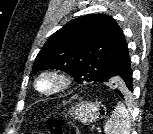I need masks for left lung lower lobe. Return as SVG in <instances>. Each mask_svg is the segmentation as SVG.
Wrapping results in <instances>:
<instances>
[{
	"label": "left lung lower lobe",
	"mask_w": 153,
	"mask_h": 134,
	"mask_svg": "<svg viewBox=\"0 0 153 134\" xmlns=\"http://www.w3.org/2000/svg\"><path fill=\"white\" fill-rule=\"evenodd\" d=\"M117 77L119 81H121L122 84L124 85L126 92L119 91L117 89H115V92H117V94L123 98L124 95L128 94L130 91H133V84H132L133 78H132V69L130 68V61L127 63V65H125L117 72Z\"/></svg>",
	"instance_id": "0a47b994"
}]
</instances>
